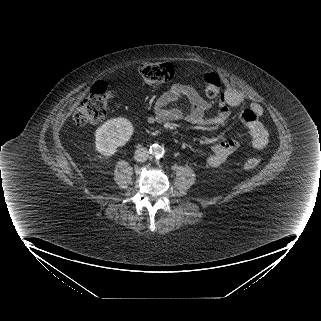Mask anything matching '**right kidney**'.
I'll list each match as a JSON object with an SVG mask.
<instances>
[{
  "label": "right kidney",
  "mask_w": 321,
  "mask_h": 321,
  "mask_svg": "<svg viewBox=\"0 0 321 321\" xmlns=\"http://www.w3.org/2000/svg\"><path fill=\"white\" fill-rule=\"evenodd\" d=\"M134 132L132 123L122 117L110 119L95 131L96 151L104 156H112L119 146L125 145Z\"/></svg>",
  "instance_id": "right-kidney-1"
}]
</instances>
